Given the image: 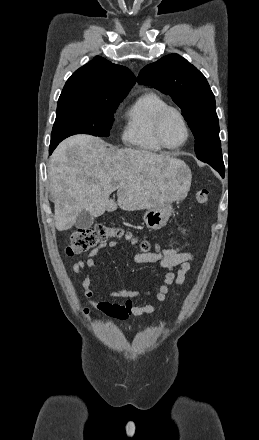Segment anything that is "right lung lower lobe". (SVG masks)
I'll list each match as a JSON object with an SVG mask.
<instances>
[{"instance_id": "obj_1", "label": "right lung lower lobe", "mask_w": 259, "mask_h": 440, "mask_svg": "<svg viewBox=\"0 0 259 440\" xmlns=\"http://www.w3.org/2000/svg\"><path fill=\"white\" fill-rule=\"evenodd\" d=\"M59 144V142H51L49 147V154L53 152V150L56 148V146Z\"/></svg>"}]
</instances>
